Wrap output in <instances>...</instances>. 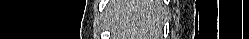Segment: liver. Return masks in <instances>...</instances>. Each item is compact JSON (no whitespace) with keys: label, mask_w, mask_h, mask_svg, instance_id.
<instances>
[{"label":"liver","mask_w":249,"mask_h":39,"mask_svg":"<svg viewBox=\"0 0 249 39\" xmlns=\"http://www.w3.org/2000/svg\"><path fill=\"white\" fill-rule=\"evenodd\" d=\"M164 12L162 0H116L109 23L116 39H159Z\"/></svg>","instance_id":"liver-1"}]
</instances>
